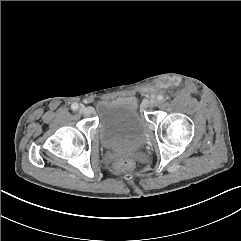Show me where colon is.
Masks as SVG:
<instances>
[{
	"label": "colon",
	"instance_id": "colon-1",
	"mask_svg": "<svg viewBox=\"0 0 241 241\" xmlns=\"http://www.w3.org/2000/svg\"><path fill=\"white\" fill-rule=\"evenodd\" d=\"M134 163L129 159H124L118 162L117 167L122 170H129L133 168Z\"/></svg>",
	"mask_w": 241,
	"mask_h": 241
}]
</instances>
